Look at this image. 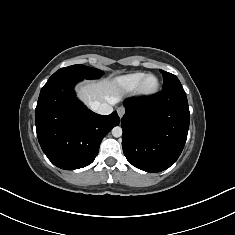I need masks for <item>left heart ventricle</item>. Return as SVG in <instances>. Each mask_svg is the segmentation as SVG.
Returning a JSON list of instances; mask_svg holds the SVG:
<instances>
[{"instance_id":"obj_1","label":"left heart ventricle","mask_w":235,"mask_h":235,"mask_svg":"<svg viewBox=\"0 0 235 235\" xmlns=\"http://www.w3.org/2000/svg\"><path fill=\"white\" fill-rule=\"evenodd\" d=\"M154 84H155V79L154 78H149L146 82V87L151 88V87L154 86Z\"/></svg>"}]
</instances>
